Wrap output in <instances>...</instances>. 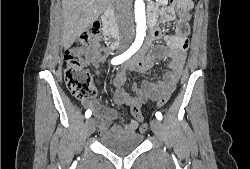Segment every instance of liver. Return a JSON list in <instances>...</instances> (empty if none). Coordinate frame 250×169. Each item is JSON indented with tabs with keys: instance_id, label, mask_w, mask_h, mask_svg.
Returning <instances> with one entry per match:
<instances>
[{
	"instance_id": "liver-1",
	"label": "liver",
	"mask_w": 250,
	"mask_h": 169,
	"mask_svg": "<svg viewBox=\"0 0 250 169\" xmlns=\"http://www.w3.org/2000/svg\"><path fill=\"white\" fill-rule=\"evenodd\" d=\"M109 2L111 0H62L63 44L66 48L106 10Z\"/></svg>"
}]
</instances>
